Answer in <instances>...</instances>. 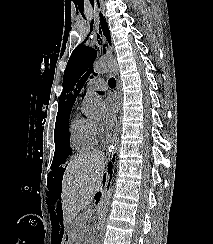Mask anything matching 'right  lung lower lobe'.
I'll use <instances>...</instances> for the list:
<instances>
[{
  "instance_id": "98d812e1",
  "label": "right lung lower lobe",
  "mask_w": 213,
  "mask_h": 244,
  "mask_svg": "<svg viewBox=\"0 0 213 244\" xmlns=\"http://www.w3.org/2000/svg\"><path fill=\"white\" fill-rule=\"evenodd\" d=\"M114 157H115V156H113V159H112L113 162H114V159H115ZM108 173H109V174H112V163H111V162H110L109 165H108Z\"/></svg>"
}]
</instances>
